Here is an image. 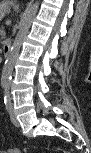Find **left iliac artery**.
<instances>
[{"label":"left iliac artery","instance_id":"44dca946","mask_svg":"<svg viewBox=\"0 0 91 153\" xmlns=\"http://www.w3.org/2000/svg\"><path fill=\"white\" fill-rule=\"evenodd\" d=\"M4 104L6 106V109L8 111H10L11 108H12V105H11L10 95H9L8 92L5 93V96H4Z\"/></svg>","mask_w":91,"mask_h":153}]
</instances>
